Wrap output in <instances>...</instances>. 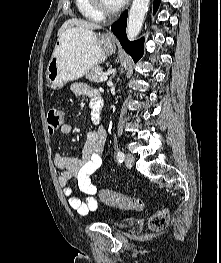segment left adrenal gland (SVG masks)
<instances>
[{
  "instance_id": "left-adrenal-gland-1",
  "label": "left adrenal gland",
  "mask_w": 221,
  "mask_h": 263,
  "mask_svg": "<svg viewBox=\"0 0 221 263\" xmlns=\"http://www.w3.org/2000/svg\"><path fill=\"white\" fill-rule=\"evenodd\" d=\"M115 75H116V72L113 73L112 77H115Z\"/></svg>"
}]
</instances>
